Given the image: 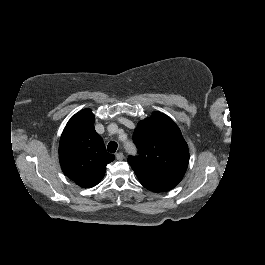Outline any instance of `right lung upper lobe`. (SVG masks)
<instances>
[{"mask_svg": "<svg viewBox=\"0 0 265 265\" xmlns=\"http://www.w3.org/2000/svg\"><path fill=\"white\" fill-rule=\"evenodd\" d=\"M90 109L75 114L67 123L59 143V161L64 174L83 188L100 182L106 165L114 160L94 129Z\"/></svg>", "mask_w": 265, "mask_h": 265, "instance_id": "cb5924a9", "label": "right lung upper lobe"}]
</instances>
